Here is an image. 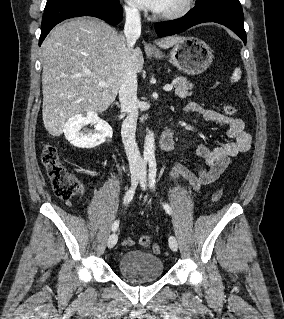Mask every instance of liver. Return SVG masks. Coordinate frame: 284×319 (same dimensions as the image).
<instances>
[{
	"label": "liver",
	"mask_w": 284,
	"mask_h": 319,
	"mask_svg": "<svg viewBox=\"0 0 284 319\" xmlns=\"http://www.w3.org/2000/svg\"><path fill=\"white\" fill-rule=\"evenodd\" d=\"M182 37L161 39L167 49ZM43 58L42 115L52 136L63 133L73 116L105 111L120 89L125 66L136 73L144 65L139 48L128 51L126 38L107 23L92 17L70 20L56 26L41 46ZM104 81L105 86L99 82Z\"/></svg>",
	"instance_id": "obj_1"
}]
</instances>
